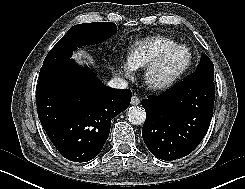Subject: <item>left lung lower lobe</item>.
Instances as JSON below:
<instances>
[{"mask_svg": "<svg viewBox=\"0 0 245 189\" xmlns=\"http://www.w3.org/2000/svg\"><path fill=\"white\" fill-rule=\"evenodd\" d=\"M214 99V77L194 72L166 92L142 100V137L149 151L166 161L190 154L209 128Z\"/></svg>", "mask_w": 245, "mask_h": 189, "instance_id": "obj_1", "label": "left lung lower lobe"}]
</instances>
